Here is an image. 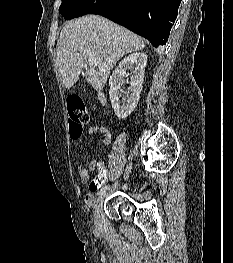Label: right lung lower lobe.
<instances>
[{
    "instance_id": "1",
    "label": "right lung lower lobe",
    "mask_w": 233,
    "mask_h": 263,
    "mask_svg": "<svg viewBox=\"0 0 233 263\" xmlns=\"http://www.w3.org/2000/svg\"><path fill=\"white\" fill-rule=\"evenodd\" d=\"M181 0H119L103 5L99 14L147 38L157 48L164 45L176 20Z\"/></svg>"
}]
</instances>
